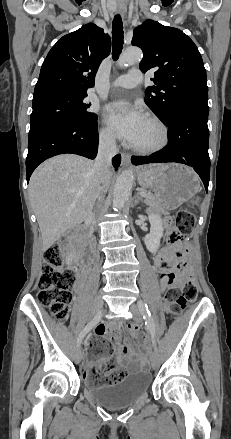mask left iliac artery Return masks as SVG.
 <instances>
[{
	"instance_id": "left-iliac-artery-1",
	"label": "left iliac artery",
	"mask_w": 231,
	"mask_h": 439,
	"mask_svg": "<svg viewBox=\"0 0 231 439\" xmlns=\"http://www.w3.org/2000/svg\"><path fill=\"white\" fill-rule=\"evenodd\" d=\"M138 305L143 310V318L145 320V326L150 331V334L152 337V343H153L154 347H156V345H155V327H154L153 320L151 318V312L148 308V305L145 302L139 301Z\"/></svg>"
}]
</instances>
